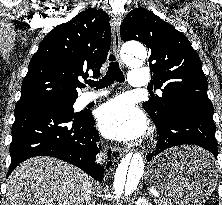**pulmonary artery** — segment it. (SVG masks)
<instances>
[{"mask_svg": "<svg viewBox=\"0 0 222 205\" xmlns=\"http://www.w3.org/2000/svg\"><path fill=\"white\" fill-rule=\"evenodd\" d=\"M149 76L145 70L133 69L129 75V85L135 88H146L149 85ZM107 95V91L98 93H88L85 95L84 102L89 103Z\"/></svg>", "mask_w": 222, "mask_h": 205, "instance_id": "1", "label": "pulmonary artery"}]
</instances>
